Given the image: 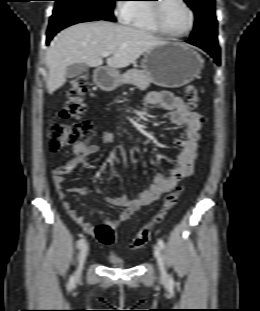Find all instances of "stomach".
I'll return each instance as SVG.
<instances>
[{"label":"stomach","mask_w":260,"mask_h":311,"mask_svg":"<svg viewBox=\"0 0 260 311\" xmlns=\"http://www.w3.org/2000/svg\"><path fill=\"white\" fill-rule=\"evenodd\" d=\"M204 67V60L187 45L166 42L147 51L141 62L144 74L156 85L176 88L197 78ZM120 73L105 69L95 77L96 84L105 91L118 85Z\"/></svg>","instance_id":"obj_1"}]
</instances>
